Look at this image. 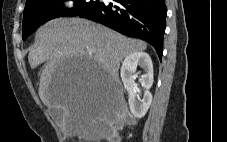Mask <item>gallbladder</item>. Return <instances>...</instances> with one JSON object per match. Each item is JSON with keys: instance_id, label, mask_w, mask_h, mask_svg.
<instances>
[{"instance_id": "gallbladder-1", "label": "gallbladder", "mask_w": 227, "mask_h": 142, "mask_svg": "<svg viewBox=\"0 0 227 142\" xmlns=\"http://www.w3.org/2000/svg\"><path fill=\"white\" fill-rule=\"evenodd\" d=\"M50 113L54 119L61 121V119H62L61 109L51 108Z\"/></svg>"}]
</instances>
